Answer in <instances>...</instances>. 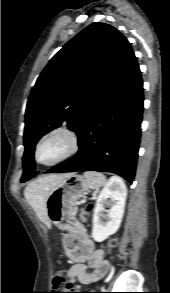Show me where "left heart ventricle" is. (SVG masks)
I'll list each match as a JSON object with an SVG mask.
<instances>
[{
	"mask_svg": "<svg viewBox=\"0 0 170 293\" xmlns=\"http://www.w3.org/2000/svg\"><path fill=\"white\" fill-rule=\"evenodd\" d=\"M68 145V138L63 133H56L43 142L38 157L43 162H51L62 156Z\"/></svg>",
	"mask_w": 170,
	"mask_h": 293,
	"instance_id": "b2bd125f",
	"label": "left heart ventricle"
}]
</instances>
